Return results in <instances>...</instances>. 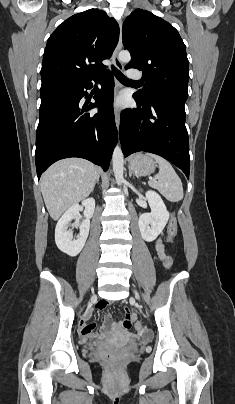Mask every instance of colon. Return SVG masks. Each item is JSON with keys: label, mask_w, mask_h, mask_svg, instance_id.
I'll list each match as a JSON object with an SVG mask.
<instances>
[{"label": "colon", "mask_w": 235, "mask_h": 404, "mask_svg": "<svg viewBox=\"0 0 235 404\" xmlns=\"http://www.w3.org/2000/svg\"><path fill=\"white\" fill-rule=\"evenodd\" d=\"M177 230H178L177 222H176V219L173 217L170 220L168 228H167V241L168 242L173 241V239L175 238V236L177 234ZM165 266L168 269H171V267H172V259L169 255H167L165 258ZM122 325L126 329H130L132 327H134L135 329L140 328V324L138 322L133 323L130 312L128 310L125 311V316L122 320ZM107 359L110 360L109 357H107Z\"/></svg>", "instance_id": "colon-1"}]
</instances>
